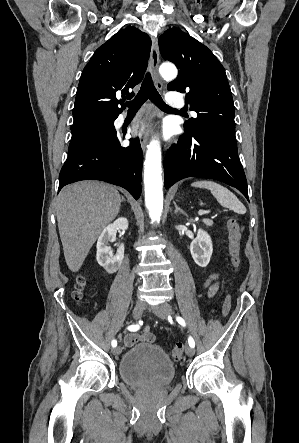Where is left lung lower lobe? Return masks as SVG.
I'll use <instances>...</instances> for the list:
<instances>
[{
    "instance_id": "0a47b994",
    "label": "left lung lower lobe",
    "mask_w": 299,
    "mask_h": 443,
    "mask_svg": "<svg viewBox=\"0 0 299 443\" xmlns=\"http://www.w3.org/2000/svg\"><path fill=\"white\" fill-rule=\"evenodd\" d=\"M164 174L166 188L187 177L211 178L237 188L248 199L236 140L218 132L184 133L167 152Z\"/></svg>"
}]
</instances>
